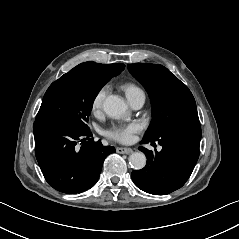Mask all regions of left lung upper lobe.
<instances>
[{
	"label": "left lung upper lobe",
	"mask_w": 239,
	"mask_h": 239,
	"mask_svg": "<svg viewBox=\"0 0 239 239\" xmlns=\"http://www.w3.org/2000/svg\"><path fill=\"white\" fill-rule=\"evenodd\" d=\"M131 74L145 87L152 103V121L145 138L157 140L181 123H199L190 90L167 68L158 64H129Z\"/></svg>",
	"instance_id": "5c2ea615"
}]
</instances>
